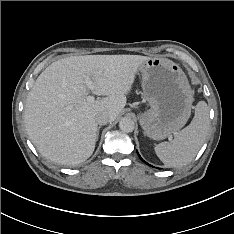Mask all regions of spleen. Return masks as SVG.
<instances>
[{"mask_svg": "<svg viewBox=\"0 0 234 234\" xmlns=\"http://www.w3.org/2000/svg\"><path fill=\"white\" fill-rule=\"evenodd\" d=\"M210 127L209 108L200 101L195 108L191 123L177 133L173 142H162L154 149L158 158L168 167H181L189 164L202 147Z\"/></svg>", "mask_w": 234, "mask_h": 234, "instance_id": "1", "label": "spleen"}]
</instances>
